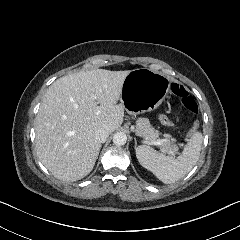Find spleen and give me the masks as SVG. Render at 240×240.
Instances as JSON below:
<instances>
[{
	"instance_id": "1",
	"label": "spleen",
	"mask_w": 240,
	"mask_h": 240,
	"mask_svg": "<svg viewBox=\"0 0 240 240\" xmlns=\"http://www.w3.org/2000/svg\"><path fill=\"white\" fill-rule=\"evenodd\" d=\"M202 142V134L195 133L177 159L146 145L139 146L136 155L141 165L156 174L162 182L173 184L187 175L197 164Z\"/></svg>"
}]
</instances>
